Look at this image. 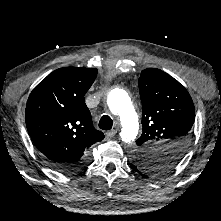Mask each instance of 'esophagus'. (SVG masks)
<instances>
[{
	"mask_svg": "<svg viewBox=\"0 0 221 221\" xmlns=\"http://www.w3.org/2000/svg\"><path fill=\"white\" fill-rule=\"evenodd\" d=\"M116 133H117L116 130H110V131H107V132H106V136H107L108 138H112V137L115 136Z\"/></svg>",
	"mask_w": 221,
	"mask_h": 221,
	"instance_id": "obj_1",
	"label": "esophagus"
}]
</instances>
